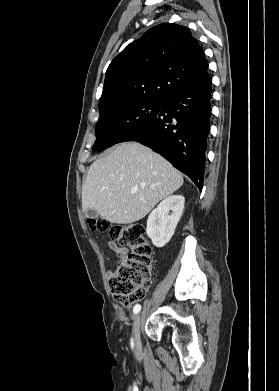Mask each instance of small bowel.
Instances as JSON below:
<instances>
[{"mask_svg": "<svg viewBox=\"0 0 279 391\" xmlns=\"http://www.w3.org/2000/svg\"><path fill=\"white\" fill-rule=\"evenodd\" d=\"M109 247L116 252L118 258H121L126 255L127 250L125 248L120 247L116 242L109 241Z\"/></svg>", "mask_w": 279, "mask_h": 391, "instance_id": "obj_1", "label": "small bowel"}]
</instances>
